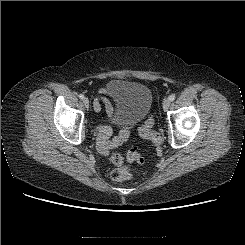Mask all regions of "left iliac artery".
<instances>
[{"label":"left iliac artery","instance_id":"left-iliac-artery-1","mask_svg":"<svg viewBox=\"0 0 245 245\" xmlns=\"http://www.w3.org/2000/svg\"><path fill=\"white\" fill-rule=\"evenodd\" d=\"M175 98H176L175 94H172V95L169 96V100H170V101H174Z\"/></svg>","mask_w":245,"mask_h":245}]
</instances>
